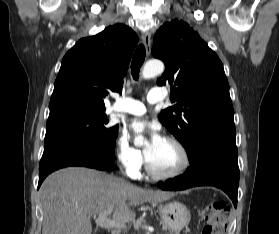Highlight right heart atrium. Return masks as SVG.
Listing matches in <instances>:
<instances>
[{
	"instance_id": "d8ad5b80",
	"label": "right heart atrium",
	"mask_w": 279,
	"mask_h": 234,
	"mask_svg": "<svg viewBox=\"0 0 279 234\" xmlns=\"http://www.w3.org/2000/svg\"><path fill=\"white\" fill-rule=\"evenodd\" d=\"M115 158L119 166L128 175L136 174L144 163L143 152L132 145L129 138L124 134L117 137Z\"/></svg>"
}]
</instances>
